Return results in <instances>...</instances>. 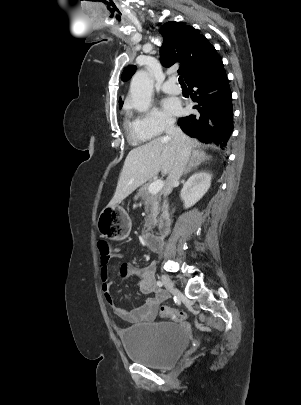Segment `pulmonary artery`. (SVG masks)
<instances>
[{
  "instance_id": "pulmonary-artery-1",
  "label": "pulmonary artery",
  "mask_w": 301,
  "mask_h": 405,
  "mask_svg": "<svg viewBox=\"0 0 301 405\" xmlns=\"http://www.w3.org/2000/svg\"><path fill=\"white\" fill-rule=\"evenodd\" d=\"M162 90L166 93L169 94H180L181 93V88L180 86L176 83L175 78H170L168 79L162 86Z\"/></svg>"
}]
</instances>
